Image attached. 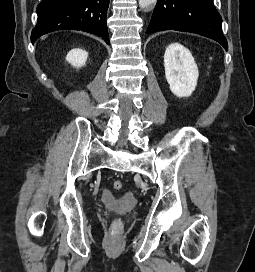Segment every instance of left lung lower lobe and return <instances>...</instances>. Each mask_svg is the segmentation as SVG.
<instances>
[{
  "label": "left lung lower lobe",
  "instance_id": "0a47b994",
  "mask_svg": "<svg viewBox=\"0 0 255 272\" xmlns=\"http://www.w3.org/2000/svg\"><path fill=\"white\" fill-rule=\"evenodd\" d=\"M170 29L200 34L228 48L213 0H158L146 33Z\"/></svg>",
  "mask_w": 255,
  "mask_h": 272
}]
</instances>
